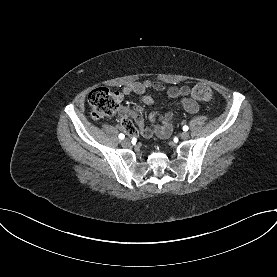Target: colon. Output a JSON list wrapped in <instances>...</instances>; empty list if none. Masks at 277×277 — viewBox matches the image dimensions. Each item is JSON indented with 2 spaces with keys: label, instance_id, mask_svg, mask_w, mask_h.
<instances>
[{
  "label": "colon",
  "instance_id": "obj_1",
  "mask_svg": "<svg viewBox=\"0 0 277 277\" xmlns=\"http://www.w3.org/2000/svg\"><path fill=\"white\" fill-rule=\"evenodd\" d=\"M193 96L202 101L212 98V91L206 84H197L192 90ZM122 95L115 90L100 87L92 90L88 95V105L94 119H104L112 116L120 108ZM135 112L140 113V108L135 107ZM127 130L132 131L129 121L125 122Z\"/></svg>",
  "mask_w": 277,
  "mask_h": 277
}]
</instances>
